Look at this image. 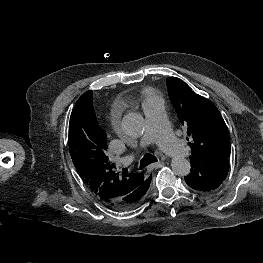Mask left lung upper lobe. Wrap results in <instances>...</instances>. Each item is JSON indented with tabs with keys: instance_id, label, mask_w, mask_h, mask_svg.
Wrapping results in <instances>:
<instances>
[{
	"instance_id": "1",
	"label": "left lung upper lobe",
	"mask_w": 263,
	"mask_h": 263,
	"mask_svg": "<svg viewBox=\"0 0 263 263\" xmlns=\"http://www.w3.org/2000/svg\"><path fill=\"white\" fill-rule=\"evenodd\" d=\"M167 87L177 117L192 140L188 143L192 152L190 159L198 161L229 159L230 138L216 106L210 100L193 92L179 78H168Z\"/></svg>"
}]
</instances>
